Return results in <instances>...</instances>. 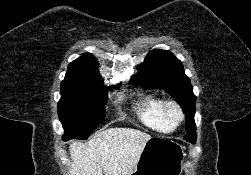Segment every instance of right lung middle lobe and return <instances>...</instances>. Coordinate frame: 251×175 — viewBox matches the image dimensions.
Instances as JSON below:
<instances>
[{"label": "right lung middle lobe", "mask_w": 251, "mask_h": 175, "mask_svg": "<svg viewBox=\"0 0 251 175\" xmlns=\"http://www.w3.org/2000/svg\"><path fill=\"white\" fill-rule=\"evenodd\" d=\"M107 88L61 84L58 115L64 127L63 140L87 139L105 118Z\"/></svg>", "instance_id": "1"}]
</instances>
